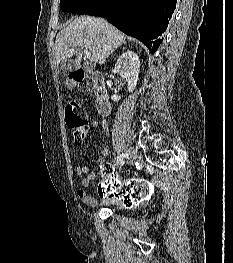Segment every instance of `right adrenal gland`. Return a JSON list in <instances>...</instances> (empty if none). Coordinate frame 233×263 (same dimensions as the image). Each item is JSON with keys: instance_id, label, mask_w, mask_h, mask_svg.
Returning <instances> with one entry per match:
<instances>
[{"instance_id": "right-adrenal-gland-1", "label": "right adrenal gland", "mask_w": 233, "mask_h": 263, "mask_svg": "<svg viewBox=\"0 0 233 263\" xmlns=\"http://www.w3.org/2000/svg\"><path fill=\"white\" fill-rule=\"evenodd\" d=\"M117 49H118V47H117V48H115V49H114V50H113V51L110 53V55H111V54H113V52H114L115 50H117Z\"/></svg>"}]
</instances>
